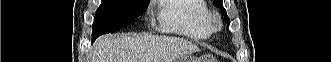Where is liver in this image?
Listing matches in <instances>:
<instances>
[{
	"mask_svg": "<svg viewBox=\"0 0 331 62\" xmlns=\"http://www.w3.org/2000/svg\"><path fill=\"white\" fill-rule=\"evenodd\" d=\"M198 51L192 42L171 36L120 34L100 37L91 62H174Z\"/></svg>",
	"mask_w": 331,
	"mask_h": 62,
	"instance_id": "6515ba94",
	"label": "liver"
}]
</instances>
